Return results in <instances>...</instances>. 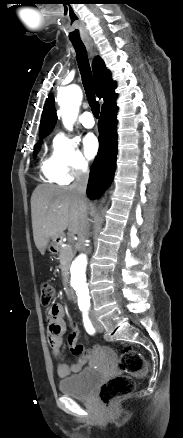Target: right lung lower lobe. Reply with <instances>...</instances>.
<instances>
[{"label": "right lung lower lobe", "mask_w": 183, "mask_h": 438, "mask_svg": "<svg viewBox=\"0 0 183 438\" xmlns=\"http://www.w3.org/2000/svg\"><path fill=\"white\" fill-rule=\"evenodd\" d=\"M117 106L115 102L102 108L99 130V151L90 170L87 194L90 199L100 196L113 179L117 155Z\"/></svg>", "instance_id": "98d812e1"}]
</instances>
